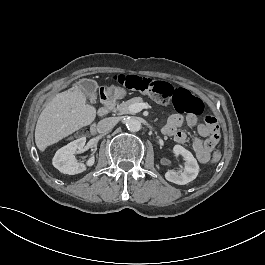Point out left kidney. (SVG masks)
Returning <instances> with one entry per match:
<instances>
[{
  "mask_svg": "<svg viewBox=\"0 0 265 265\" xmlns=\"http://www.w3.org/2000/svg\"><path fill=\"white\" fill-rule=\"evenodd\" d=\"M174 153L181 155V157L184 159V162L182 163L184 166V172L181 174H177L175 172H166L165 178L169 182H173L178 185H185L197 177L199 165L194 156L179 144L174 145Z\"/></svg>",
  "mask_w": 265,
  "mask_h": 265,
  "instance_id": "left-kidney-1",
  "label": "left kidney"
}]
</instances>
